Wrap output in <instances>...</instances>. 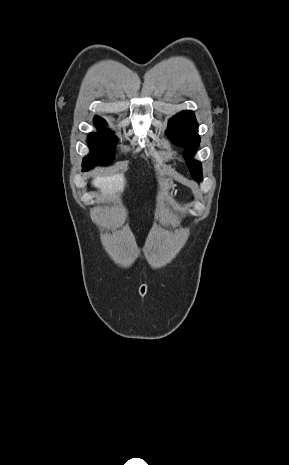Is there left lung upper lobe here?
<instances>
[{"label":"left lung upper lobe","instance_id":"5c2ea615","mask_svg":"<svg viewBox=\"0 0 289 465\" xmlns=\"http://www.w3.org/2000/svg\"><path fill=\"white\" fill-rule=\"evenodd\" d=\"M166 134L172 141L185 148L183 155L186 158L187 166L192 177L197 182H200L202 180L201 163L192 159L200 143L198 124L194 113L192 111H183L172 117Z\"/></svg>","mask_w":289,"mask_h":465}]
</instances>
